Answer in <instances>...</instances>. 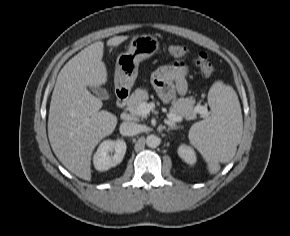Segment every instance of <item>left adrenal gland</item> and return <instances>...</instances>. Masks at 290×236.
I'll return each mask as SVG.
<instances>
[{
    "label": "left adrenal gland",
    "instance_id": "obj_1",
    "mask_svg": "<svg viewBox=\"0 0 290 236\" xmlns=\"http://www.w3.org/2000/svg\"><path fill=\"white\" fill-rule=\"evenodd\" d=\"M179 128V126H177V125H173V126H169L168 128H165V130L166 131H170V130H176V129H178Z\"/></svg>",
    "mask_w": 290,
    "mask_h": 236
}]
</instances>
